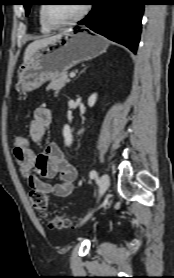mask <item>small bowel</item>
<instances>
[{
    "label": "small bowel",
    "instance_id": "obj_1",
    "mask_svg": "<svg viewBox=\"0 0 174 278\" xmlns=\"http://www.w3.org/2000/svg\"><path fill=\"white\" fill-rule=\"evenodd\" d=\"M51 120L52 115L48 108L38 107L34 110L29 125V136L33 142L38 143L43 139ZM14 155L20 173L31 190L62 198L73 192L77 170L66 160L61 148L56 143L48 144L39 153L33 149L31 144L22 150L14 147ZM39 176L45 178L58 177L59 182H46Z\"/></svg>",
    "mask_w": 174,
    "mask_h": 278
}]
</instances>
